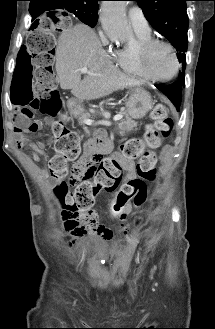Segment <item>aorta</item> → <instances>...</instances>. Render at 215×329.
<instances>
[{
    "label": "aorta",
    "instance_id": "obj_1",
    "mask_svg": "<svg viewBox=\"0 0 215 329\" xmlns=\"http://www.w3.org/2000/svg\"><path fill=\"white\" fill-rule=\"evenodd\" d=\"M127 1H104L100 11L102 27L113 41L128 43L133 38L131 26L126 18Z\"/></svg>",
    "mask_w": 215,
    "mask_h": 329
}]
</instances>
